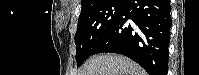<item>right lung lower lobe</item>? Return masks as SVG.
<instances>
[{
    "mask_svg": "<svg viewBox=\"0 0 199 75\" xmlns=\"http://www.w3.org/2000/svg\"><path fill=\"white\" fill-rule=\"evenodd\" d=\"M169 0H127L118 22L95 49L125 55L149 75H167L171 27Z\"/></svg>",
    "mask_w": 199,
    "mask_h": 75,
    "instance_id": "1",
    "label": "right lung lower lobe"
}]
</instances>
